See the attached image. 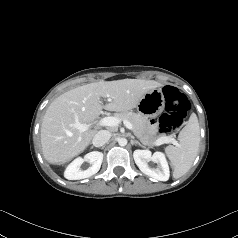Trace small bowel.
<instances>
[{
	"label": "small bowel",
	"mask_w": 238,
	"mask_h": 238,
	"mask_svg": "<svg viewBox=\"0 0 238 238\" xmlns=\"http://www.w3.org/2000/svg\"><path fill=\"white\" fill-rule=\"evenodd\" d=\"M148 125H149L151 128H156V127L159 125V120H158L156 117H151V118L148 120Z\"/></svg>",
	"instance_id": "obj_1"
}]
</instances>
